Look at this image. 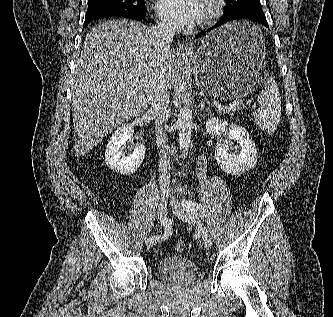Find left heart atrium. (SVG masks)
<instances>
[{
  "label": "left heart atrium",
  "instance_id": "obj_1",
  "mask_svg": "<svg viewBox=\"0 0 333 317\" xmlns=\"http://www.w3.org/2000/svg\"><path fill=\"white\" fill-rule=\"evenodd\" d=\"M161 17L172 26L186 27L200 21L203 16V0H158Z\"/></svg>",
  "mask_w": 333,
  "mask_h": 317
}]
</instances>
